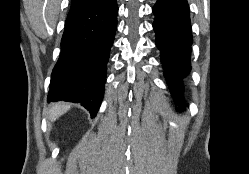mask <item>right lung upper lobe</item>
<instances>
[{
    "label": "right lung upper lobe",
    "mask_w": 249,
    "mask_h": 174,
    "mask_svg": "<svg viewBox=\"0 0 249 174\" xmlns=\"http://www.w3.org/2000/svg\"><path fill=\"white\" fill-rule=\"evenodd\" d=\"M98 1L100 0H71L70 11L81 9Z\"/></svg>",
    "instance_id": "right-lung-upper-lobe-1"
}]
</instances>
